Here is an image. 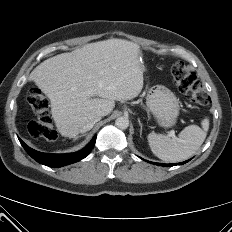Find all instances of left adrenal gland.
Returning <instances> with one entry per match:
<instances>
[{"mask_svg": "<svg viewBox=\"0 0 232 232\" xmlns=\"http://www.w3.org/2000/svg\"><path fill=\"white\" fill-rule=\"evenodd\" d=\"M138 123H139V126H140V136L142 135V123L140 121V119L138 118Z\"/></svg>", "mask_w": 232, "mask_h": 232, "instance_id": "left-adrenal-gland-1", "label": "left adrenal gland"}]
</instances>
